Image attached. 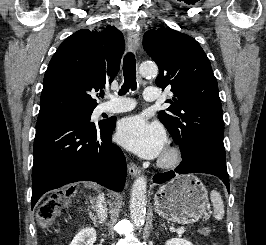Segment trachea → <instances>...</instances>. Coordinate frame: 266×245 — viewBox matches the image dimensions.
Masks as SVG:
<instances>
[{
  "instance_id": "3493384b",
  "label": "trachea",
  "mask_w": 266,
  "mask_h": 245,
  "mask_svg": "<svg viewBox=\"0 0 266 245\" xmlns=\"http://www.w3.org/2000/svg\"><path fill=\"white\" fill-rule=\"evenodd\" d=\"M124 85L119 94L124 95L131 90H136V61L133 53H127L123 61ZM103 97L104 94H101Z\"/></svg>"
}]
</instances>
